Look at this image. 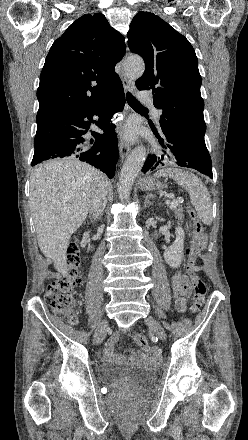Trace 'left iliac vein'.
I'll list each match as a JSON object with an SVG mask.
<instances>
[{"label":"left iliac vein","instance_id":"4c4485c4","mask_svg":"<svg viewBox=\"0 0 248 440\" xmlns=\"http://www.w3.org/2000/svg\"><path fill=\"white\" fill-rule=\"evenodd\" d=\"M146 324L161 340L165 339V332L162 326L154 318L148 317L146 319Z\"/></svg>","mask_w":248,"mask_h":440}]
</instances>
